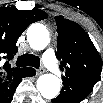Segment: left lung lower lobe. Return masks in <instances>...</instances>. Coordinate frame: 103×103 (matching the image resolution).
Instances as JSON below:
<instances>
[{
	"label": "left lung lower lobe",
	"mask_w": 103,
	"mask_h": 103,
	"mask_svg": "<svg viewBox=\"0 0 103 103\" xmlns=\"http://www.w3.org/2000/svg\"><path fill=\"white\" fill-rule=\"evenodd\" d=\"M63 84L61 93L55 99H52V103H80L91 93L95 85L69 78L63 79Z\"/></svg>",
	"instance_id": "0a47b994"
}]
</instances>
